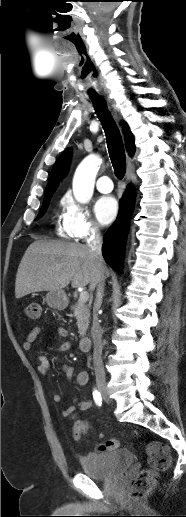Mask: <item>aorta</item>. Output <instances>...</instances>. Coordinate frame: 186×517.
<instances>
[{
	"mask_svg": "<svg viewBox=\"0 0 186 517\" xmlns=\"http://www.w3.org/2000/svg\"><path fill=\"white\" fill-rule=\"evenodd\" d=\"M100 164V157L91 154L77 167L73 178V193L78 202L87 203L91 199Z\"/></svg>",
	"mask_w": 186,
	"mask_h": 517,
	"instance_id": "1",
	"label": "aorta"
}]
</instances>
